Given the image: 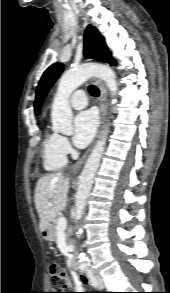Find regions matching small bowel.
I'll list each match as a JSON object with an SVG mask.
<instances>
[{
    "label": "small bowel",
    "mask_w": 170,
    "mask_h": 293,
    "mask_svg": "<svg viewBox=\"0 0 170 293\" xmlns=\"http://www.w3.org/2000/svg\"><path fill=\"white\" fill-rule=\"evenodd\" d=\"M76 284L81 285L82 287H87V278L81 275L80 278L76 281Z\"/></svg>",
    "instance_id": "c3829d8e"
}]
</instances>
